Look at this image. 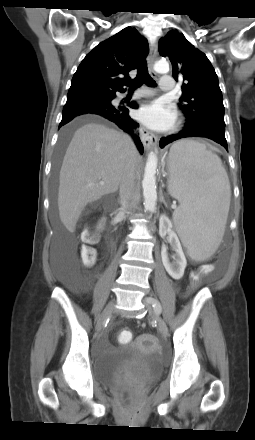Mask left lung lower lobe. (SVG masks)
<instances>
[{
    "label": "left lung lower lobe",
    "instance_id": "obj_1",
    "mask_svg": "<svg viewBox=\"0 0 255 440\" xmlns=\"http://www.w3.org/2000/svg\"><path fill=\"white\" fill-rule=\"evenodd\" d=\"M186 137H205L209 138L220 145H222L227 151V141L225 138V126L217 124L215 122H204L197 125L187 124L184 129L175 135H170L160 140V147L163 148L165 145Z\"/></svg>",
    "mask_w": 255,
    "mask_h": 440
}]
</instances>
